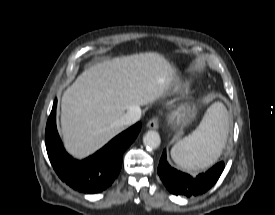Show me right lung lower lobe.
<instances>
[{"mask_svg": "<svg viewBox=\"0 0 275 215\" xmlns=\"http://www.w3.org/2000/svg\"><path fill=\"white\" fill-rule=\"evenodd\" d=\"M56 106L57 100L45 131L46 149L55 172L63 182L79 192L98 193L105 190L118 176L123 153L137 137L141 123H136L113 138L94 155L79 161L63 148L56 128Z\"/></svg>", "mask_w": 275, "mask_h": 215, "instance_id": "obj_1", "label": "right lung lower lobe"}]
</instances>
